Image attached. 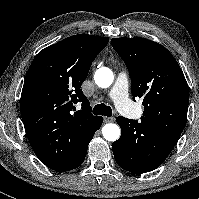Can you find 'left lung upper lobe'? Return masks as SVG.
Returning a JSON list of instances; mask_svg holds the SVG:
<instances>
[{
	"label": "left lung upper lobe",
	"mask_w": 199,
	"mask_h": 199,
	"mask_svg": "<svg viewBox=\"0 0 199 199\" xmlns=\"http://www.w3.org/2000/svg\"><path fill=\"white\" fill-rule=\"evenodd\" d=\"M111 45L129 70L133 98L143 97L141 120L180 136L187 120L189 89L173 55L144 38H112Z\"/></svg>",
	"instance_id": "obj_1"
}]
</instances>
